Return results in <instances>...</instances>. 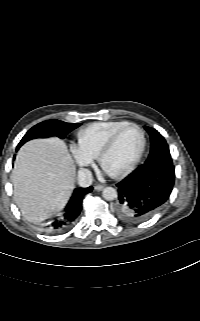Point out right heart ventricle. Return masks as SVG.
<instances>
[{
	"instance_id": "e07e8e85",
	"label": "right heart ventricle",
	"mask_w": 200,
	"mask_h": 321,
	"mask_svg": "<svg viewBox=\"0 0 200 321\" xmlns=\"http://www.w3.org/2000/svg\"><path fill=\"white\" fill-rule=\"evenodd\" d=\"M127 121L113 120L94 122L79 130L78 145L92 157H96L108 138Z\"/></svg>"
}]
</instances>
